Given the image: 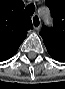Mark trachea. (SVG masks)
<instances>
[{
	"label": "trachea",
	"mask_w": 65,
	"mask_h": 89,
	"mask_svg": "<svg viewBox=\"0 0 65 89\" xmlns=\"http://www.w3.org/2000/svg\"><path fill=\"white\" fill-rule=\"evenodd\" d=\"M35 12V5L34 4H29L25 7V13L27 15H33Z\"/></svg>",
	"instance_id": "trachea-1"
}]
</instances>
